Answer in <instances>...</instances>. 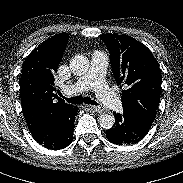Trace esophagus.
<instances>
[{
    "mask_svg": "<svg viewBox=\"0 0 183 183\" xmlns=\"http://www.w3.org/2000/svg\"><path fill=\"white\" fill-rule=\"evenodd\" d=\"M84 108L88 111L94 112L96 114L101 113L103 110L101 107L94 106V105H85Z\"/></svg>",
    "mask_w": 183,
    "mask_h": 183,
    "instance_id": "1",
    "label": "esophagus"
}]
</instances>
